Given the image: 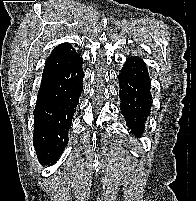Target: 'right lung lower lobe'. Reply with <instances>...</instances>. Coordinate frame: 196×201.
Listing matches in <instances>:
<instances>
[{"instance_id":"1","label":"right lung lower lobe","mask_w":196,"mask_h":201,"mask_svg":"<svg viewBox=\"0 0 196 201\" xmlns=\"http://www.w3.org/2000/svg\"><path fill=\"white\" fill-rule=\"evenodd\" d=\"M84 73L79 55H56L46 60L34 110L33 144L42 165L53 163L68 143Z\"/></svg>"}]
</instances>
